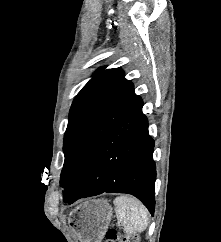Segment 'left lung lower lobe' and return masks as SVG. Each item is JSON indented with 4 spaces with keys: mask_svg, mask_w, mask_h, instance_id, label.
<instances>
[{
    "mask_svg": "<svg viewBox=\"0 0 221 242\" xmlns=\"http://www.w3.org/2000/svg\"><path fill=\"white\" fill-rule=\"evenodd\" d=\"M142 106L141 100L92 147L77 175L65 188V203L72 204L104 192L128 193L154 214V141L148 134Z\"/></svg>",
    "mask_w": 221,
    "mask_h": 242,
    "instance_id": "1",
    "label": "left lung lower lobe"
}]
</instances>
